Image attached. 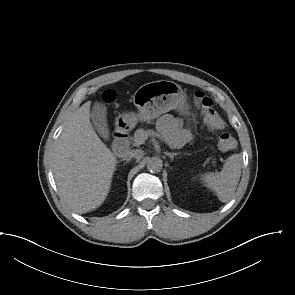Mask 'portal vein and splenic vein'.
I'll return each instance as SVG.
<instances>
[{
	"mask_svg": "<svg viewBox=\"0 0 295 295\" xmlns=\"http://www.w3.org/2000/svg\"><path fill=\"white\" fill-rule=\"evenodd\" d=\"M149 135H151V136H156V137L160 138L159 134L156 133V132H151V133H149V134H144V135H142V137H143L144 140H146V139L148 138Z\"/></svg>",
	"mask_w": 295,
	"mask_h": 295,
	"instance_id": "18ae733b",
	"label": "portal vein and splenic vein"
}]
</instances>
